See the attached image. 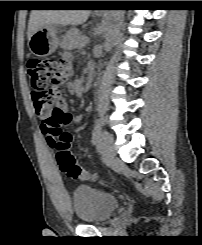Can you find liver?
<instances>
[{
  "mask_svg": "<svg viewBox=\"0 0 202 245\" xmlns=\"http://www.w3.org/2000/svg\"><path fill=\"white\" fill-rule=\"evenodd\" d=\"M90 10H32L28 23L27 38L47 24L81 25L86 22Z\"/></svg>",
  "mask_w": 202,
  "mask_h": 245,
  "instance_id": "6515ba94",
  "label": "liver"
}]
</instances>
